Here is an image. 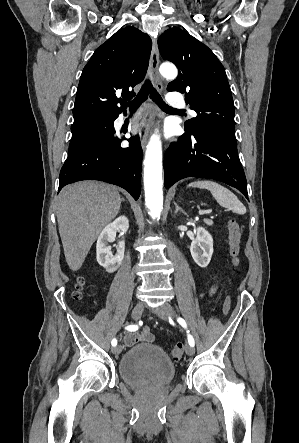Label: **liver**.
<instances>
[{"label": "liver", "mask_w": 299, "mask_h": 443, "mask_svg": "<svg viewBox=\"0 0 299 443\" xmlns=\"http://www.w3.org/2000/svg\"><path fill=\"white\" fill-rule=\"evenodd\" d=\"M121 197L114 186L82 181L64 187L58 195L56 214L69 268L82 266L102 229L118 214Z\"/></svg>", "instance_id": "liver-1"}]
</instances>
